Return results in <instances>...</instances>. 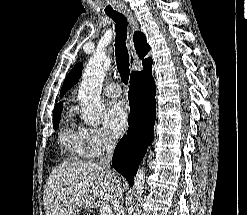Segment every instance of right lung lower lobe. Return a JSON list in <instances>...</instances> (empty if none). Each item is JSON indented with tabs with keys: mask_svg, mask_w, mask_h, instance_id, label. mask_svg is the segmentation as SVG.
<instances>
[{
	"mask_svg": "<svg viewBox=\"0 0 247 215\" xmlns=\"http://www.w3.org/2000/svg\"><path fill=\"white\" fill-rule=\"evenodd\" d=\"M152 61L143 71L133 72L128 93L130 114L127 134L117 144L112 164L133 186L134 175L153 140L156 118V87L151 71Z\"/></svg>",
	"mask_w": 247,
	"mask_h": 215,
	"instance_id": "right-lung-lower-lobe-1",
	"label": "right lung lower lobe"
}]
</instances>
